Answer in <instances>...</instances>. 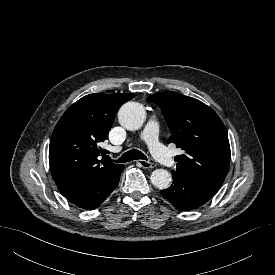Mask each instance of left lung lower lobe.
<instances>
[{
	"mask_svg": "<svg viewBox=\"0 0 275 275\" xmlns=\"http://www.w3.org/2000/svg\"><path fill=\"white\" fill-rule=\"evenodd\" d=\"M173 174L172 186L162 190L161 194L180 210H193L205 204L219 188L211 184Z\"/></svg>",
	"mask_w": 275,
	"mask_h": 275,
	"instance_id": "0a47b994",
	"label": "left lung lower lobe"
}]
</instances>
